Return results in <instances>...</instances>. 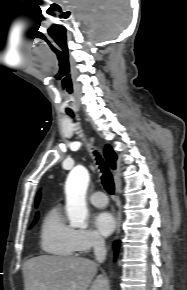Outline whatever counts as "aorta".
<instances>
[{
  "label": "aorta",
  "mask_w": 187,
  "mask_h": 290,
  "mask_svg": "<svg viewBox=\"0 0 187 290\" xmlns=\"http://www.w3.org/2000/svg\"><path fill=\"white\" fill-rule=\"evenodd\" d=\"M88 183L89 173L82 166L74 168L66 180V211L71 227L87 228L86 219L88 210L86 206V192Z\"/></svg>",
  "instance_id": "762f6f07"
}]
</instances>
